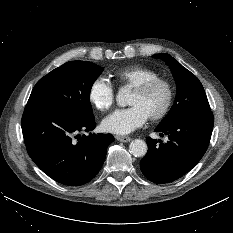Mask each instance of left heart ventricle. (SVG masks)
Segmentation results:
<instances>
[{"label":"left heart ventricle","mask_w":233,"mask_h":233,"mask_svg":"<svg viewBox=\"0 0 233 233\" xmlns=\"http://www.w3.org/2000/svg\"><path fill=\"white\" fill-rule=\"evenodd\" d=\"M166 98L167 90L164 86L160 85L147 94H139L132 91L128 105L140 107L150 117L162 109Z\"/></svg>","instance_id":"obj_1"}]
</instances>
